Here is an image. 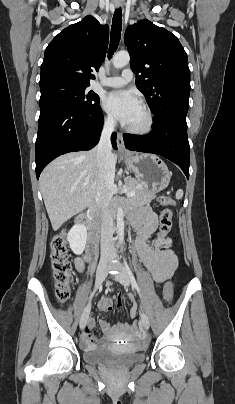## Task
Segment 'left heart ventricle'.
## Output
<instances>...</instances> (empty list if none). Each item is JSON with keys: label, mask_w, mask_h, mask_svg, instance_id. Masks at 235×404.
I'll return each mask as SVG.
<instances>
[{"label": "left heart ventricle", "mask_w": 235, "mask_h": 404, "mask_svg": "<svg viewBox=\"0 0 235 404\" xmlns=\"http://www.w3.org/2000/svg\"><path fill=\"white\" fill-rule=\"evenodd\" d=\"M144 119V113L141 109V107L138 109L134 117L131 119V121L128 123L129 126H138L143 122Z\"/></svg>", "instance_id": "b2bd125f"}]
</instances>
